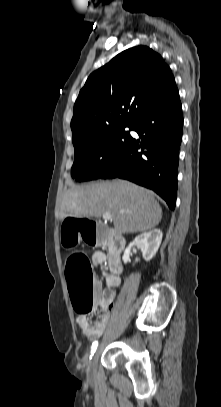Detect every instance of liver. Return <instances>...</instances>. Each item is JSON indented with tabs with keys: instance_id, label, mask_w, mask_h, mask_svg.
Masks as SVG:
<instances>
[{
	"instance_id": "obj_1",
	"label": "liver",
	"mask_w": 221,
	"mask_h": 407,
	"mask_svg": "<svg viewBox=\"0 0 221 407\" xmlns=\"http://www.w3.org/2000/svg\"><path fill=\"white\" fill-rule=\"evenodd\" d=\"M111 214L117 233L145 232L162 219L153 194L125 180L92 183L68 190L60 206V218L99 217Z\"/></svg>"
}]
</instances>
